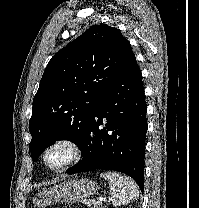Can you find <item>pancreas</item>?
<instances>
[{
	"label": "pancreas",
	"mask_w": 199,
	"mask_h": 208,
	"mask_svg": "<svg viewBox=\"0 0 199 208\" xmlns=\"http://www.w3.org/2000/svg\"><path fill=\"white\" fill-rule=\"evenodd\" d=\"M88 206L91 208H100V206H98V204L95 201H89Z\"/></svg>",
	"instance_id": "pancreas-1"
}]
</instances>
